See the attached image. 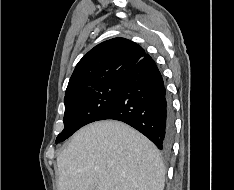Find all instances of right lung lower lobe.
Returning a JSON list of instances; mask_svg holds the SVG:
<instances>
[{"label":"right lung lower lobe","mask_w":234,"mask_h":190,"mask_svg":"<svg viewBox=\"0 0 234 190\" xmlns=\"http://www.w3.org/2000/svg\"><path fill=\"white\" fill-rule=\"evenodd\" d=\"M122 121L148 137L162 151H169L174 135L171 103L162 75L146 54L122 78L114 104L97 120Z\"/></svg>","instance_id":"obj_1"}]
</instances>
